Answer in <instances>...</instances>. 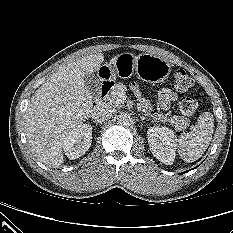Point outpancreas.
Listing matches in <instances>:
<instances>
[{"label": "pancreas", "mask_w": 233, "mask_h": 233, "mask_svg": "<svg viewBox=\"0 0 233 233\" xmlns=\"http://www.w3.org/2000/svg\"><path fill=\"white\" fill-rule=\"evenodd\" d=\"M126 90V86L123 83L115 84L107 97L109 105L112 107L122 106V102L119 100V95H124ZM151 117L155 121H160L163 123L168 121L177 131L185 130L190 122L188 118L183 116L173 115L171 118H168L167 115H163L162 113L151 114Z\"/></svg>", "instance_id": "1"}]
</instances>
